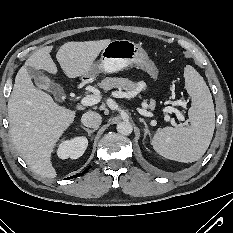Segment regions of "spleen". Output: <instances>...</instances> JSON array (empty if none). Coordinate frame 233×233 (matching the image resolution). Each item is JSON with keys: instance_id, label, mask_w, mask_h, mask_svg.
<instances>
[{"instance_id": "3e777b00", "label": "spleen", "mask_w": 233, "mask_h": 233, "mask_svg": "<svg viewBox=\"0 0 233 233\" xmlns=\"http://www.w3.org/2000/svg\"><path fill=\"white\" fill-rule=\"evenodd\" d=\"M185 88L192 103L187 127H165L152 139L161 156L184 163L195 162L208 149L215 129V111L209 88L203 77L190 65L184 70Z\"/></svg>"}]
</instances>
